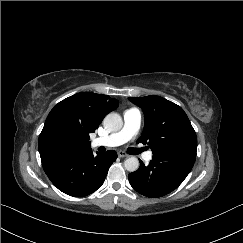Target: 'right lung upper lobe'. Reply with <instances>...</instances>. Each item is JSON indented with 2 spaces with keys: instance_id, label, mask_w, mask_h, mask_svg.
<instances>
[{
  "instance_id": "1",
  "label": "right lung upper lobe",
  "mask_w": 243,
  "mask_h": 243,
  "mask_svg": "<svg viewBox=\"0 0 243 243\" xmlns=\"http://www.w3.org/2000/svg\"><path fill=\"white\" fill-rule=\"evenodd\" d=\"M117 106V100L107 95L81 92L56 104L48 116L59 115L79 130L81 143L76 154H80L91 149L89 134Z\"/></svg>"
}]
</instances>
